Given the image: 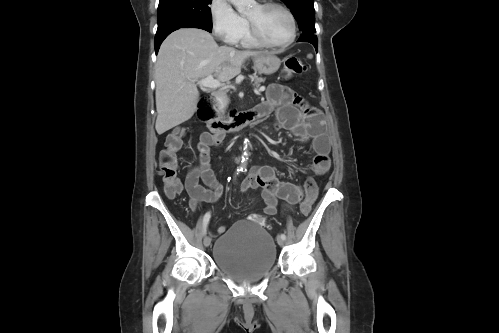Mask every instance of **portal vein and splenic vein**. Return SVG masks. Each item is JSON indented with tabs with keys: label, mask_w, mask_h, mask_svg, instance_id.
I'll return each instance as SVG.
<instances>
[{
	"label": "portal vein and splenic vein",
	"mask_w": 499,
	"mask_h": 333,
	"mask_svg": "<svg viewBox=\"0 0 499 333\" xmlns=\"http://www.w3.org/2000/svg\"><path fill=\"white\" fill-rule=\"evenodd\" d=\"M198 85L201 87H205V88H217V87L223 86L224 84L221 81L214 79V77L212 75H209L206 78L198 81ZM264 90H265V87H261L259 90H255V92L260 93V92H263Z\"/></svg>",
	"instance_id": "obj_1"
}]
</instances>
